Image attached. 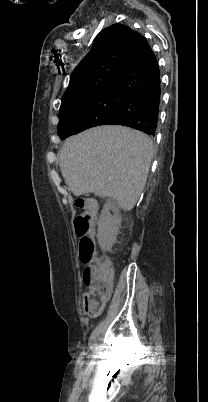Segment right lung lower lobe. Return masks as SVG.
<instances>
[{"instance_id":"98d812e1","label":"right lung lower lobe","mask_w":208,"mask_h":402,"mask_svg":"<svg viewBox=\"0 0 208 402\" xmlns=\"http://www.w3.org/2000/svg\"><path fill=\"white\" fill-rule=\"evenodd\" d=\"M113 83L120 96L117 108L110 113L60 123L58 134L61 139L105 124L123 125L149 135L155 134L161 97L160 72L156 57L147 41L141 45Z\"/></svg>"}]
</instances>
